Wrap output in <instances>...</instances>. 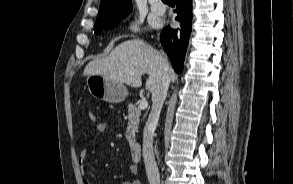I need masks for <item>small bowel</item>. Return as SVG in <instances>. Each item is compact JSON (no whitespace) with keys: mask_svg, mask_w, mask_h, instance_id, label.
<instances>
[{"mask_svg":"<svg viewBox=\"0 0 293 184\" xmlns=\"http://www.w3.org/2000/svg\"><path fill=\"white\" fill-rule=\"evenodd\" d=\"M94 129L97 133H103L106 130V124L104 122H97L94 126ZM88 156V151L84 150L81 152L79 157V167L82 172V174L86 171V159ZM131 171L133 173L137 172V169L135 166L131 167ZM83 184H92L87 178L83 179ZM122 184H141L139 180H131V181H125Z\"/></svg>","mask_w":293,"mask_h":184,"instance_id":"small-bowel-1","label":"small bowel"}]
</instances>
